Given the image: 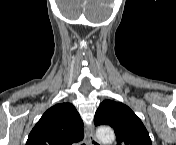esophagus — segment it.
I'll return each mask as SVG.
<instances>
[{
    "label": "esophagus",
    "mask_w": 176,
    "mask_h": 145,
    "mask_svg": "<svg viewBox=\"0 0 176 145\" xmlns=\"http://www.w3.org/2000/svg\"><path fill=\"white\" fill-rule=\"evenodd\" d=\"M87 145H101L95 136L94 127L92 125L87 127Z\"/></svg>",
    "instance_id": "1"
}]
</instances>
